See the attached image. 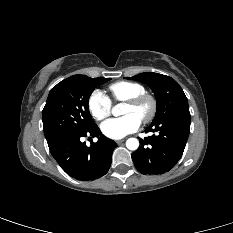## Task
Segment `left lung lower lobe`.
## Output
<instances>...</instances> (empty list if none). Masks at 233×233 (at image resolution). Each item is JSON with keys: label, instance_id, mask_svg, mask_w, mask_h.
<instances>
[{"label": "left lung lower lobe", "instance_id": "0a47b994", "mask_svg": "<svg viewBox=\"0 0 233 233\" xmlns=\"http://www.w3.org/2000/svg\"><path fill=\"white\" fill-rule=\"evenodd\" d=\"M189 109L171 114L151 124L146 132L152 136L140 139V147L132 153L135 167L142 174H163L180 160L189 136Z\"/></svg>", "mask_w": 233, "mask_h": 233}]
</instances>
